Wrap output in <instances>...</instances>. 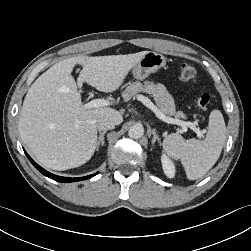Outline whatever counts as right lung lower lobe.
Segmentation results:
<instances>
[{"label": "right lung lower lobe", "instance_id": "right-lung-lower-lobe-1", "mask_svg": "<svg viewBox=\"0 0 251 251\" xmlns=\"http://www.w3.org/2000/svg\"><path fill=\"white\" fill-rule=\"evenodd\" d=\"M25 154L28 157V159L30 160V162L34 165V167L38 171H40L43 175H45V176H47V177H49V178H51V179H53V180H55L57 182L68 183V182L81 181V180L89 179V178L96 175V174H92V175H89V176L79 177V178H68V177L57 176V175H54V174L46 171L42 167H40L36 162L33 161V159L26 153V151H25Z\"/></svg>", "mask_w": 251, "mask_h": 251}]
</instances>
